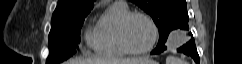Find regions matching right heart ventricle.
Returning a JSON list of instances; mask_svg holds the SVG:
<instances>
[{
    "label": "right heart ventricle",
    "instance_id": "obj_1",
    "mask_svg": "<svg viewBox=\"0 0 242 64\" xmlns=\"http://www.w3.org/2000/svg\"><path fill=\"white\" fill-rule=\"evenodd\" d=\"M127 13L128 7L118 3H113L104 10L87 33V43L95 53L112 58L126 54L118 40V28Z\"/></svg>",
    "mask_w": 242,
    "mask_h": 64
}]
</instances>
